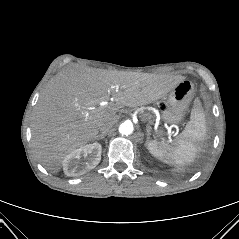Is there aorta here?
Masks as SVG:
<instances>
[{
    "label": "aorta",
    "instance_id": "1",
    "mask_svg": "<svg viewBox=\"0 0 239 239\" xmlns=\"http://www.w3.org/2000/svg\"><path fill=\"white\" fill-rule=\"evenodd\" d=\"M134 127L131 121H124L119 126V133L128 136L133 133Z\"/></svg>",
    "mask_w": 239,
    "mask_h": 239
}]
</instances>
